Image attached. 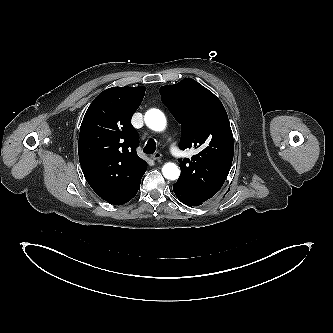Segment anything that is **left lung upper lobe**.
Here are the masks:
<instances>
[{
  "mask_svg": "<svg viewBox=\"0 0 333 333\" xmlns=\"http://www.w3.org/2000/svg\"><path fill=\"white\" fill-rule=\"evenodd\" d=\"M161 100L181 124L180 149L198 150L191 159H180L176 186L202 201L213 197L230 171L234 142L221 101L191 78L160 88Z\"/></svg>",
  "mask_w": 333,
  "mask_h": 333,
  "instance_id": "left-lung-upper-lobe-1",
  "label": "left lung upper lobe"
}]
</instances>
